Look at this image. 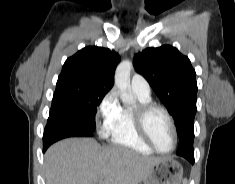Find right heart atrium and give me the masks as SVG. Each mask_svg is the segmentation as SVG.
Returning a JSON list of instances; mask_svg holds the SVG:
<instances>
[{
  "label": "right heart atrium",
  "mask_w": 235,
  "mask_h": 184,
  "mask_svg": "<svg viewBox=\"0 0 235 184\" xmlns=\"http://www.w3.org/2000/svg\"><path fill=\"white\" fill-rule=\"evenodd\" d=\"M121 110L116 92L109 91L100 101L93 115V123L99 138L104 139L112 134Z\"/></svg>",
  "instance_id": "obj_1"
}]
</instances>
